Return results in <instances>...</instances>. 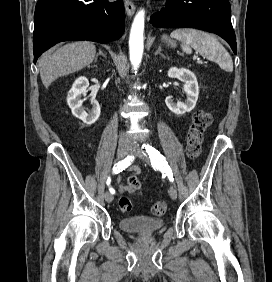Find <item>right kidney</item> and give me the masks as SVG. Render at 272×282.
Returning <instances> with one entry per match:
<instances>
[{
    "label": "right kidney",
    "instance_id": "ca27d5eb",
    "mask_svg": "<svg viewBox=\"0 0 272 282\" xmlns=\"http://www.w3.org/2000/svg\"><path fill=\"white\" fill-rule=\"evenodd\" d=\"M88 87V79L84 76L78 77L68 92L67 103L76 118L80 119L85 125H92L98 120L101 110L98 101L95 99H91V111L87 113L84 110L82 105L86 98L81 99V97H86Z\"/></svg>",
    "mask_w": 272,
    "mask_h": 282
}]
</instances>
